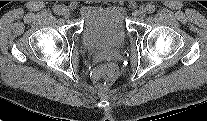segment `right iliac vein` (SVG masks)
Instances as JSON below:
<instances>
[{
	"label": "right iliac vein",
	"mask_w": 207,
	"mask_h": 121,
	"mask_svg": "<svg viewBox=\"0 0 207 121\" xmlns=\"http://www.w3.org/2000/svg\"><path fill=\"white\" fill-rule=\"evenodd\" d=\"M70 15H71L70 10H69L68 8L64 7V8L62 9V16H63L64 18H69Z\"/></svg>",
	"instance_id": "obj_1"
}]
</instances>
